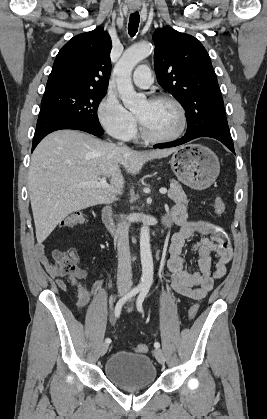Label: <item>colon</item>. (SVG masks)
I'll use <instances>...</instances> for the list:
<instances>
[{
    "label": "colon",
    "mask_w": 267,
    "mask_h": 419,
    "mask_svg": "<svg viewBox=\"0 0 267 419\" xmlns=\"http://www.w3.org/2000/svg\"><path fill=\"white\" fill-rule=\"evenodd\" d=\"M214 211L218 215H223L226 211V205L222 199H216L214 202ZM86 215L82 211H75L70 213L62 221L64 227H74L83 224L86 221ZM77 256L70 252L56 250L52 253V264L58 274L64 277H70L77 274L80 270L75 264ZM199 311V305L193 304L188 311L189 319H194ZM146 344H137L134 350L139 353H146L148 351Z\"/></svg>",
    "instance_id": "1"
}]
</instances>
